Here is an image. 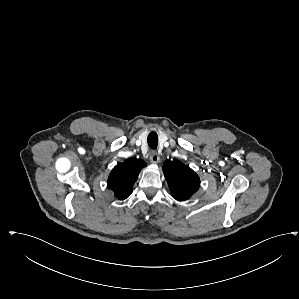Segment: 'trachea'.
Wrapping results in <instances>:
<instances>
[{
    "label": "trachea",
    "instance_id": "obj_1",
    "mask_svg": "<svg viewBox=\"0 0 299 299\" xmlns=\"http://www.w3.org/2000/svg\"><path fill=\"white\" fill-rule=\"evenodd\" d=\"M148 145L151 149H156L158 146V135L156 132H150L147 138Z\"/></svg>",
    "mask_w": 299,
    "mask_h": 299
}]
</instances>
